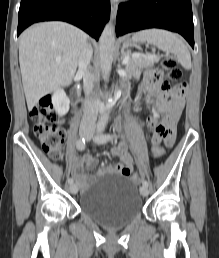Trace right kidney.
<instances>
[{"label":"right kidney","mask_w":219,"mask_h":258,"mask_svg":"<svg viewBox=\"0 0 219 258\" xmlns=\"http://www.w3.org/2000/svg\"><path fill=\"white\" fill-rule=\"evenodd\" d=\"M52 104L56 113L63 116L69 111L70 100L62 89H57L52 95Z\"/></svg>","instance_id":"obj_1"}]
</instances>
